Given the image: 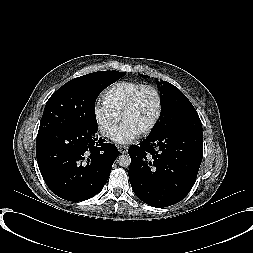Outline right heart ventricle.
<instances>
[{
  "label": "right heart ventricle",
  "mask_w": 253,
  "mask_h": 253,
  "mask_svg": "<svg viewBox=\"0 0 253 253\" xmlns=\"http://www.w3.org/2000/svg\"><path fill=\"white\" fill-rule=\"evenodd\" d=\"M144 85L147 84L132 80L117 81L104 90L102 102L115 114L120 116L122 108L129 97Z\"/></svg>",
  "instance_id": "obj_1"
}]
</instances>
